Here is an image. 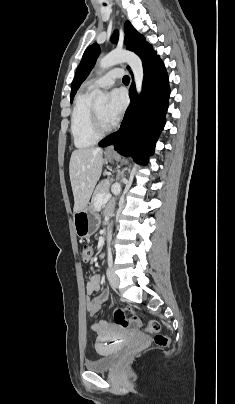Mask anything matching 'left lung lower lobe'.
Returning a JSON list of instances; mask_svg holds the SVG:
<instances>
[{"label":"left lung lower lobe","instance_id":"obj_1","mask_svg":"<svg viewBox=\"0 0 235 404\" xmlns=\"http://www.w3.org/2000/svg\"><path fill=\"white\" fill-rule=\"evenodd\" d=\"M142 62V93L138 97L132 83L131 104L119 131L103 139L100 146L114 144L119 154L132 156L136 163L146 165L148 155L154 152L155 143L165 125L170 89L164 64L156 52L143 58Z\"/></svg>","mask_w":235,"mask_h":404}]
</instances>
